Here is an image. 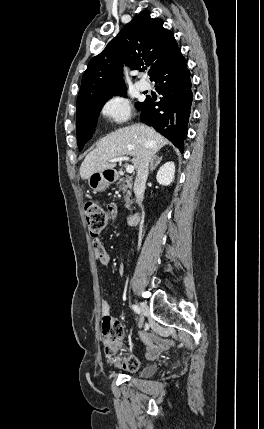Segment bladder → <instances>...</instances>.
Masks as SVG:
<instances>
[{
  "label": "bladder",
  "mask_w": 264,
  "mask_h": 429,
  "mask_svg": "<svg viewBox=\"0 0 264 429\" xmlns=\"http://www.w3.org/2000/svg\"><path fill=\"white\" fill-rule=\"evenodd\" d=\"M154 372H155V367L154 366H148V367H145L141 371L140 375L142 377H148V376L152 375Z\"/></svg>",
  "instance_id": "31cf9c89"
}]
</instances>
